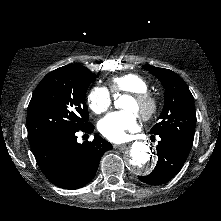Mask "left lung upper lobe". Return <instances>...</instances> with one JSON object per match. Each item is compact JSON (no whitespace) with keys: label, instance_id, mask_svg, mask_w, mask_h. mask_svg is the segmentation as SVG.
Segmentation results:
<instances>
[{"label":"left lung upper lobe","instance_id":"1","mask_svg":"<svg viewBox=\"0 0 221 221\" xmlns=\"http://www.w3.org/2000/svg\"><path fill=\"white\" fill-rule=\"evenodd\" d=\"M143 69L157 77L165 89L164 107L160 122L151 133L174 140L190 151L196 126L194 98L186 83L173 71L144 65Z\"/></svg>","mask_w":221,"mask_h":221}]
</instances>
